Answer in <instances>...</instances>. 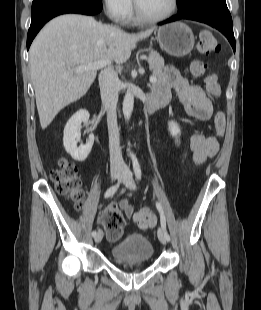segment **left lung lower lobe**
I'll return each mask as SVG.
<instances>
[{
  "instance_id": "left-lung-lower-lobe-1",
  "label": "left lung lower lobe",
  "mask_w": 261,
  "mask_h": 310,
  "mask_svg": "<svg viewBox=\"0 0 261 310\" xmlns=\"http://www.w3.org/2000/svg\"><path fill=\"white\" fill-rule=\"evenodd\" d=\"M180 19L195 20L218 29L227 37L235 51L236 42L232 18L227 8L226 0H204L194 10L184 14H177L159 24L170 23Z\"/></svg>"
}]
</instances>
